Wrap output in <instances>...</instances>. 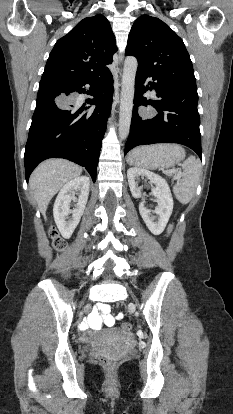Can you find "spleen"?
Masks as SVG:
<instances>
[{"label":"spleen","mask_w":233,"mask_h":414,"mask_svg":"<svg viewBox=\"0 0 233 414\" xmlns=\"http://www.w3.org/2000/svg\"><path fill=\"white\" fill-rule=\"evenodd\" d=\"M134 153L135 149L129 155H133ZM182 168L184 170L182 179L173 186V193L180 203L186 204L193 198L199 183L201 177V162L191 155L184 161Z\"/></svg>","instance_id":"1"}]
</instances>
